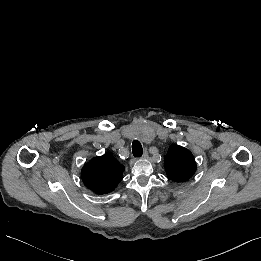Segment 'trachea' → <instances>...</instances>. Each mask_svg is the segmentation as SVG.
Instances as JSON below:
<instances>
[{
  "label": "trachea",
  "instance_id": "trachea-1",
  "mask_svg": "<svg viewBox=\"0 0 261 261\" xmlns=\"http://www.w3.org/2000/svg\"><path fill=\"white\" fill-rule=\"evenodd\" d=\"M132 152L134 157H141L143 155V148L137 139L132 142Z\"/></svg>",
  "mask_w": 261,
  "mask_h": 261
}]
</instances>
